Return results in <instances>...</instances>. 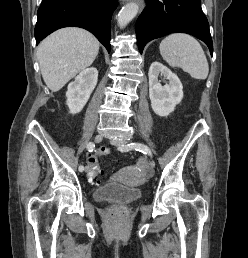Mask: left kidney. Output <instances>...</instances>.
Segmentation results:
<instances>
[{
  "instance_id": "1",
  "label": "left kidney",
  "mask_w": 248,
  "mask_h": 258,
  "mask_svg": "<svg viewBox=\"0 0 248 258\" xmlns=\"http://www.w3.org/2000/svg\"><path fill=\"white\" fill-rule=\"evenodd\" d=\"M159 75L168 79L169 84L162 86ZM148 77L151 107L157 115L166 117L183 99L182 83L175 73L158 61L151 64Z\"/></svg>"
}]
</instances>
